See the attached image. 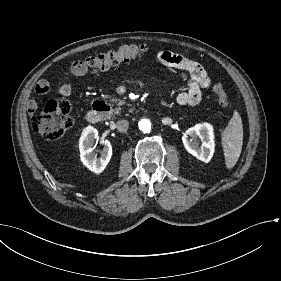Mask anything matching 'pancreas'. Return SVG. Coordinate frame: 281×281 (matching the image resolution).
I'll return each instance as SVG.
<instances>
[{
	"label": "pancreas",
	"mask_w": 281,
	"mask_h": 281,
	"mask_svg": "<svg viewBox=\"0 0 281 281\" xmlns=\"http://www.w3.org/2000/svg\"><path fill=\"white\" fill-rule=\"evenodd\" d=\"M120 110H121V108H116L115 111H114V113H115V114H119V113H120Z\"/></svg>",
	"instance_id": "obj_1"
}]
</instances>
